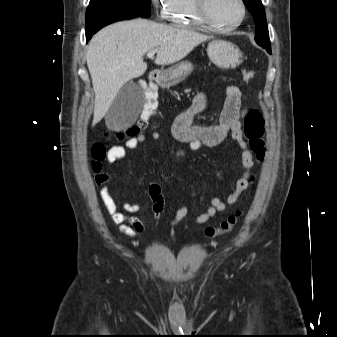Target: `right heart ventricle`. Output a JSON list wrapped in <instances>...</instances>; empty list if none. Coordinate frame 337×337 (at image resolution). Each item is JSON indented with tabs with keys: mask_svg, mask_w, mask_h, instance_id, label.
Here are the masks:
<instances>
[{
	"mask_svg": "<svg viewBox=\"0 0 337 337\" xmlns=\"http://www.w3.org/2000/svg\"><path fill=\"white\" fill-rule=\"evenodd\" d=\"M168 17L172 23L181 27H204L197 16L194 0H173Z\"/></svg>",
	"mask_w": 337,
	"mask_h": 337,
	"instance_id": "obj_1",
	"label": "right heart ventricle"
}]
</instances>
